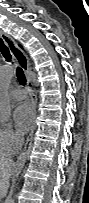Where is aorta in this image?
<instances>
[{"label": "aorta", "mask_w": 89, "mask_h": 203, "mask_svg": "<svg viewBox=\"0 0 89 203\" xmlns=\"http://www.w3.org/2000/svg\"><path fill=\"white\" fill-rule=\"evenodd\" d=\"M13 70L6 66L2 69L0 74L1 92H0V121L2 123L7 122L11 116V100L6 92V88L9 85L12 77ZM5 203H15V195H9Z\"/></svg>", "instance_id": "obj_1"}]
</instances>
